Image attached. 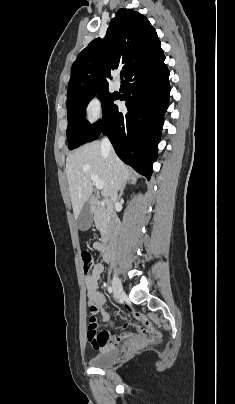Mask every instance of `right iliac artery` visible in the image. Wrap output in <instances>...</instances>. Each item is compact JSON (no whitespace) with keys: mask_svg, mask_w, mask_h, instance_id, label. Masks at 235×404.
<instances>
[{"mask_svg":"<svg viewBox=\"0 0 235 404\" xmlns=\"http://www.w3.org/2000/svg\"><path fill=\"white\" fill-rule=\"evenodd\" d=\"M108 292L110 293V294H112V292H113V290H112V288L109 286L108 287Z\"/></svg>","mask_w":235,"mask_h":404,"instance_id":"82829eb1","label":"right iliac artery"}]
</instances>
